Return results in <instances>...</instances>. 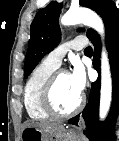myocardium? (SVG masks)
Masks as SVG:
<instances>
[{"mask_svg":"<svg viewBox=\"0 0 119 141\" xmlns=\"http://www.w3.org/2000/svg\"><path fill=\"white\" fill-rule=\"evenodd\" d=\"M61 74H68L64 69L55 70L45 82L41 92V105L43 110L51 117L54 118H68L78 113L84 103V99L80 96L77 105L69 111H60L54 103V88L56 81Z\"/></svg>","mask_w":119,"mask_h":141,"instance_id":"myocardium-1","label":"myocardium"}]
</instances>
